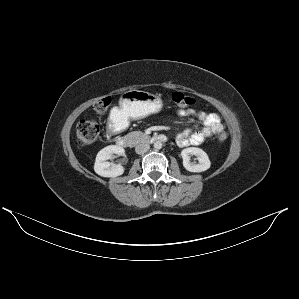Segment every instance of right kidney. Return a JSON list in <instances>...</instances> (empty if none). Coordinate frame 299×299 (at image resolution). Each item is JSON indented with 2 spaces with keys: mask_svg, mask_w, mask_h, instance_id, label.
Instances as JSON below:
<instances>
[{
  "mask_svg": "<svg viewBox=\"0 0 299 299\" xmlns=\"http://www.w3.org/2000/svg\"><path fill=\"white\" fill-rule=\"evenodd\" d=\"M124 149L120 146L109 145L101 149L96 156L94 171L102 177H117L124 173L125 168L120 164L110 163L108 160L113 154L123 155Z\"/></svg>",
  "mask_w": 299,
  "mask_h": 299,
  "instance_id": "right-kidney-1",
  "label": "right kidney"
}]
</instances>
